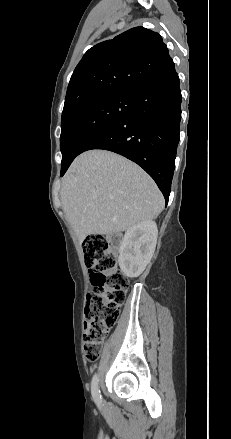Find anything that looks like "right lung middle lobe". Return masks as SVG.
Instances as JSON below:
<instances>
[{
	"label": "right lung middle lobe",
	"mask_w": 231,
	"mask_h": 439,
	"mask_svg": "<svg viewBox=\"0 0 231 439\" xmlns=\"http://www.w3.org/2000/svg\"><path fill=\"white\" fill-rule=\"evenodd\" d=\"M134 93H112L92 97L62 113L61 170L79 155L82 145L97 131L134 109Z\"/></svg>",
	"instance_id": "1"
}]
</instances>
